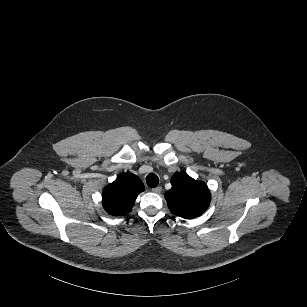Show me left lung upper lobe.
<instances>
[{"instance_id": "5c2ea615", "label": "left lung upper lobe", "mask_w": 307, "mask_h": 307, "mask_svg": "<svg viewBox=\"0 0 307 307\" xmlns=\"http://www.w3.org/2000/svg\"><path fill=\"white\" fill-rule=\"evenodd\" d=\"M171 184L172 188L165 193V198L174 215L191 219L208 208L211 195L204 182L196 181L181 171L172 176Z\"/></svg>"}]
</instances>
